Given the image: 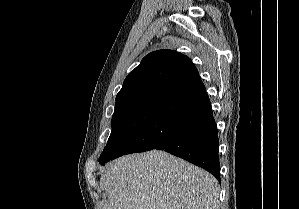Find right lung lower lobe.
<instances>
[{
  "instance_id": "1",
  "label": "right lung lower lobe",
  "mask_w": 299,
  "mask_h": 209,
  "mask_svg": "<svg viewBox=\"0 0 299 209\" xmlns=\"http://www.w3.org/2000/svg\"><path fill=\"white\" fill-rule=\"evenodd\" d=\"M218 146L211 103L201 78L197 77L162 102L112 159L135 152L165 150L204 168L220 182Z\"/></svg>"
}]
</instances>
